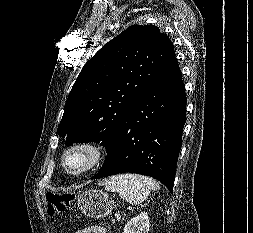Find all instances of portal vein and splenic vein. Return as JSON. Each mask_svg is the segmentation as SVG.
<instances>
[{
    "mask_svg": "<svg viewBox=\"0 0 253 233\" xmlns=\"http://www.w3.org/2000/svg\"><path fill=\"white\" fill-rule=\"evenodd\" d=\"M116 220H120V216H117V217H116Z\"/></svg>",
    "mask_w": 253,
    "mask_h": 233,
    "instance_id": "portal-vein-and-splenic-vein-1",
    "label": "portal vein and splenic vein"
}]
</instances>
